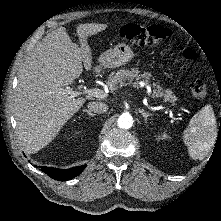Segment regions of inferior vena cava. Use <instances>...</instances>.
Listing matches in <instances>:
<instances>
[{
	"label": "inferior vena cava",
	"instance_id": "602c4592",
	"mask_svg": "<svg viewBox=\"0 0 221 221\" xmlns=\"http://www.w3.org/2000/svg\"><path fill=\"white\" fill-rule=\"evenodd\" d=\"M87 107L90 111L99 114H103L108 111V106L101 102H90L88 103Z\"/></svg>",
	"mask_w": 221,
	"mask_h": 221
}]
</instances>
